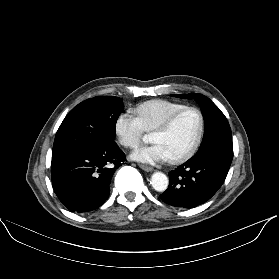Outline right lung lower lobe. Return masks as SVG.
<instances>
[{"mask_svg": "<svg viewBox=\"0 0 279 279\" xmlns=\"http://www.w3.org/2000/svg\"><path fill=\"white\" fill-rule=\"evenodd\" d=\"M124 160L114 141L99 148L52 153L53 189L70 211H92L109 197L112 175Z\"/></svg>", "mask_w": 279, "mask_h": 279, "instance_id": "98d812e1", "label": "right lung lower lobe"}]
</instances>
